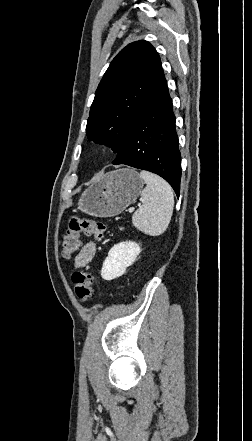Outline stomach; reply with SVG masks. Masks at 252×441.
I'll use <instances>...</instances> for the list:
<instances>
[{"label": "stomach", "mask_w": 252, "mask_h": 441, "mask_svg": "<svg viewBox=\"0 0 252 441\" xmlns=\"http://www.w3.org/2000/svg\"><path fill=\"white\" fill-rule=\"evenodd\" d=\"M143 185L134 169L108 172L82 194L78 208L96 217L116 216L138 198Z\"/></svg>", "instance_id": "stomach-1"}]
</instances>
